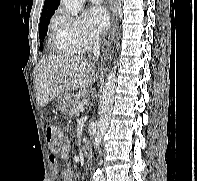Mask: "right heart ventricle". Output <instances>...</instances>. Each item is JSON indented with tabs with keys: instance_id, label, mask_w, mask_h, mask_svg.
Masks as SVG:
<instances>
[{
	"instance_id": "obj_1",
	"label": "right heart ventricle",
	"mask_w": 197,
	"mask_h": 181,
	"mask_svg": "<svg viewBox=\"0 0 197 181\" xmlns=\"http://www.w3.org/2000/svg\"><path fill=\"white\" fill-rule=\"evenodd\" d=\"M50 48L58 55L73 56L77 53L57 19L52 21L50 27Z\"/></svg>"
}]
</instances>
